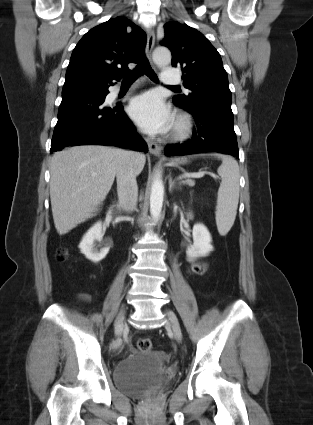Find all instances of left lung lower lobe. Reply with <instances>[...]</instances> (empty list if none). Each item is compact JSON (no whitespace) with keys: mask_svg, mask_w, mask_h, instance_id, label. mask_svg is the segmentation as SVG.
Instances as JSON below:
<instances>
[{"mask_svg":"<svg viewBox=\"0 0 313 425\" xmlns=\"http://www.w3.org/2000/svg\"><path fill=\"white\" fill-rule=\"evenodd\" d=\"M184 109L191 113L195 120L192 140L182 145H167L166 155L216 152L239 157L231 106L204 103Z\"/></svg>","mask_w":313,"mask_h":425,"instance_id":"left-lung-lower-lobe-1","label":"left lung lower lobe"}]
</instances>
